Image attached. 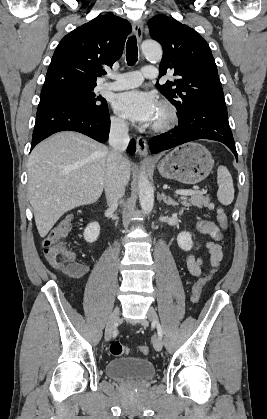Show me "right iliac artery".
<instances>
[{
	"mask_svg": "<svg viewBox=\"0 0 267 419\" xmlns=\"http://www.w3.org/2000/svg\"><path fill=\"white\" fill-rule=\"evenodd\" d=\"M116 335H117V330L114 331L113 336L116 337Z\"/></svg>",
	"mask_w": 267,
	"mask_h": 419,
	"instance_id": "right-iliac-artery-1",
	"label": "right iliac artery"
}]
</instances>
